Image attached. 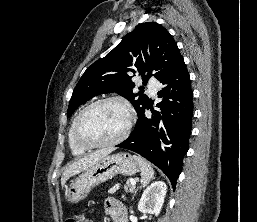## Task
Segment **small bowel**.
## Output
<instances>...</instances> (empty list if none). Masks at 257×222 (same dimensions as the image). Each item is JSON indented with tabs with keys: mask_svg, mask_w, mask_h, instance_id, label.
<instances>
[{
	"mask_svg": "<svg viewBox=\"0 0 257 222\" xmlns=\"http://www.w3.org/2000/svg\"><path fill=\"white\" fill-rule=\"evenodd\" d=\"M105 213L110 222H127L124 207L115 199L109 198L106 200Z\"/></svg>",
	"mask_w": 257,
	"mask_h": 222,
	"instance_id": "1",
	"label": "small bowel"
}]
</instances>
